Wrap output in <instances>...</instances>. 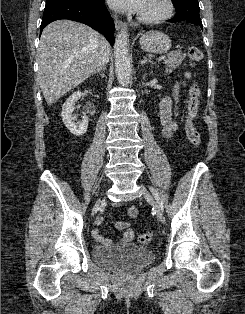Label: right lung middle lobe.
Listing matches in <instances>:
<instances>
[{
	"label": "right lung middle lobe",
	"instance_id": "dd1d6c3e",
	"mask_svg": "<svg viewBox=\"0 0 245 314\" xmlns=\"http://www.w3.org/2000/svg\"><path fill=\"white\" fill-rule=\"evenodd\" d=\"M47 1H50V0H47ZM80 1H86V2H97V1H100V0H80Z\"/></svg>",
	"mask_w": 245,
	"mask_h": 314
}]
</instances>
